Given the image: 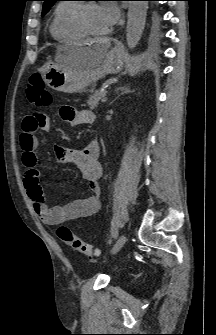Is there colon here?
<instances>
[{"mask_svg": "<svg viewBox=\"0 0 216 335\" xmlns=\"http://www.w3.org/2000/svg\"><path fill=\"white\" fill-rule=\"evenodd\" d=\"M26 96L29 102L40 109L47 108L52 103V95L45 88L44 82L39 74H33L26 85ZM58 237L74 251L90 258L99 256L100 251L91 244L75 235L67 226L61 225L57 228Z\"/></svg>", "mask_w": 216, "mask_h": 335, "instance_id": "1", "label": "colon"}]
</instances>
